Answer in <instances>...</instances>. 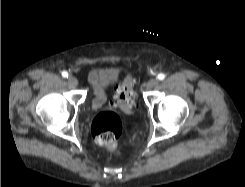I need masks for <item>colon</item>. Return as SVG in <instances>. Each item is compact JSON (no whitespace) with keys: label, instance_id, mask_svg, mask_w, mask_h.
<instances>
[{"label":"colon","instance_id":"colon-1","mask_svg":"<svg viewBox=\"0 0 245 187\" xmlns=\"http://www.w3.org/2000/svg\"><path fill=\"white\" fill-rule=\"evenodd\" d=\"M134 79L127 75L116 90L115 104L124 112H131L135 106L133 91ZM123 125L120 117L113 112L99 113L92 122V135L100 146L111 152H117L118 139L122 133Z\"/></svg>","mask_w":245,"mask_h":187}]
</instances>
